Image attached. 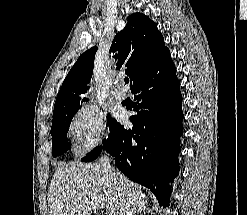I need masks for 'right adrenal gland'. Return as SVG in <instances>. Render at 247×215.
Here are the masks:
<instances>
[{"mask_svg":"<svg viewBox=\"0 0 247 215\" xmlns=\"http://www.w3.org/2000/svg\"><path fill=\"white\" fill-rule=\"evenodd\" d=\"M148 211V209H146ZM142 211L137 212V215H139V213L141 214ZM131 215H136L135 213L131 214Z\"/></svg>","mask_w":247,"mask_h":215,"instance_id":"1","label":"right adrenal gland"}]
</instances>
